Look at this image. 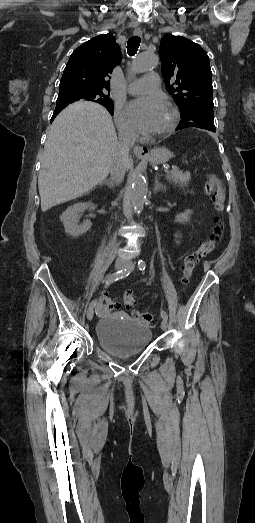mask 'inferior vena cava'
<instances>
[{
	"label": "inferior vena cava",
	"mask_w": 255,
	"mask_h": 523,
	"mask_svg": "<svg viewBox=\"0 0 255 523\" xmlns=\"http://www.w3.org/2000/svg\"><path fill=\"white\" fill-rule=\"evenodd\" d=\"M119 144L117 148V154L113 160V166H111L110 174L111 180L114 184H121L124 180L126 166L129 162V150L134 146L137 138L135 130L129 128V126H119Z\"/></svg>",
	"instance_id": "602c4592"
}]
</instances>
